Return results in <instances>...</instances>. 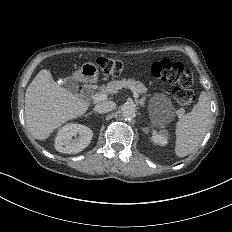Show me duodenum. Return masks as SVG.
Here are the masks:
<instances>
[{
	"label": "duodenum",
	"mask_w": 232,
	"mask_h": 232,
	"mask_svg": "<svg viewBox=\"0 0 232 232\" xmlns=\"http://www.w3.org/2000/svg\"><path fill=\"white\" fill-rule=\"evenodd\" d=\"M79 92L81 93L82 92V90H83V88L81 87V86H79Z\"/></svg>",
	"instance_id": "duodenum-1"
}]
</instances>
